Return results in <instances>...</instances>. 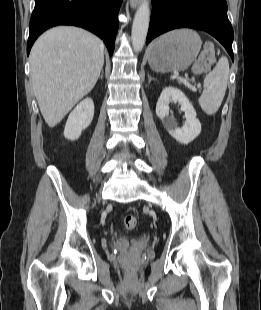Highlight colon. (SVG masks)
Wrapping results in <instances>:
<instances>
[{
	"label": "colon",
	"instance_id": "1",
	"mask_svg": "<svg viewBox=\"0 0 261 310\" xmlns=\"http://www.w3.org/2000/svg\"><path fill=\"white\" fill-rule=\"evenodd\" d=\"M215 58L216 54L213 46H206L197 58L193 66V70L196 73H203L208 71L215 62ZM137 223L138 220L134 215H127L124 218V226L127 230H133L134 228H136Z\"/></svg>",
	"mask_w": 261,
	"mask_h": 310
}]
</instances>
